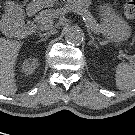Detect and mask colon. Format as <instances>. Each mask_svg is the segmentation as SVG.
<instances>
[{"mask_svg":"<svg viewBox=\"0 0 135 135\" xmlns=\"http://www.w3.org/2000/svg\"><path fill=\"white\" fill-rule=\"evenodd\" d=\"M124 12L129 19H135V0H126Z\"/></svg>","mask_w":135,"mask_h":135,"instance_id":"5ec220e1","label":"colon"}]
</instances>
